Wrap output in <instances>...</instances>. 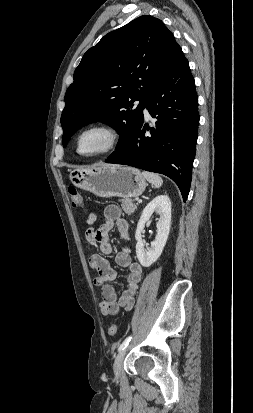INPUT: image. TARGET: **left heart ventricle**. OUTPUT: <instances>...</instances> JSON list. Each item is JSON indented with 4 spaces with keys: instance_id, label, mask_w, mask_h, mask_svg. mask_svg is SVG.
Masks as SVG:
<instances>
[{
    "instance_id": "b2bd125f",
    "label": "left heart ventricle",
    "mask_w": 253,
    "mask_h": 413,
    "mask_svg": "<svg viewBox=\"0 0 253 413\" xmlns=\"http://www.w3.org/2000/svg\"><path fill=\"white\" fill-rule=\"evenodd\" d=\"M108 141V135L101 130H92L85 133L79 142V149L84 154H91L101 150Z\"/></svg>"
}]
</instances>
